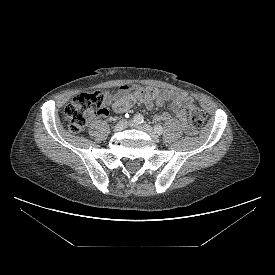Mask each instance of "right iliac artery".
<instances>
[{
  "instance_id": "right-iliac-artery-1",
  "label": "right iliac artery",
  "mask_w": 275,
  "mask_h": 275,
  "mask_svg": "<svg viewBox=\"0 0 275 275\" xmlns=\"http://www.w3.org/2000/svg\"><path fill=\"white\" fill-rule=\"evenodd\" d=\"M133 121L137 124H141L144 121V117L141 114H136L133 117Z\"/></svg>"
}]
</instances>
